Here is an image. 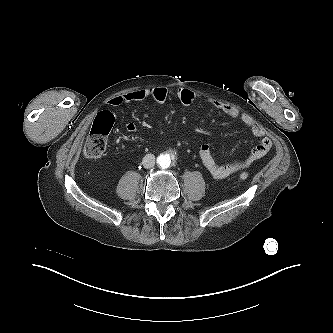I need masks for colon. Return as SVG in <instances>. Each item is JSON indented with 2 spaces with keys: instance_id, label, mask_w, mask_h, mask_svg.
Returning a JSON list of instances; mask_svg holds the SVG:
<instances>
[{
  "instance_id": "obj_1",
  "label": "colon",
  "mask_w": 333,
  "mask_h": 333,
  "mask_svg": "<svg viewBox=\"0 0 333 333\" xmlns=\"http://www.w3.org/2000/svg\"><path fill=\"white\" fill-rule=\"evenodd\" d=\"M113 124L114 116L109 111H102L96 116L84 147L86 158L95 160L103 156L106 150L108 134ZM248 176V173L242 172L239 178L246 180Z\"/></svg>"
}]
</instances>
